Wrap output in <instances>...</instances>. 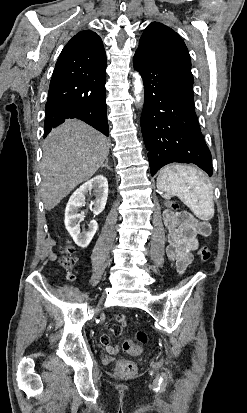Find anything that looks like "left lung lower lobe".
Segmentation results:
<instances>
[{"instance_id": "0a47b994", "label": "left lung lower lobe", "mask_w": 247, "mask_h": 413, "mask_svg": "<svg viewBox=\"0 0 247 413\" xmlns=\"http://www.w3.org/2000/svg\"><path fill=\"white\" fill-rule=\"evenodd\" d=\"M134 68L141 73L145 102L141 130L151 175L172 163H194L212 176V159L195 113L193 82L136 52Z\"/></svg>"}]
</instances>
